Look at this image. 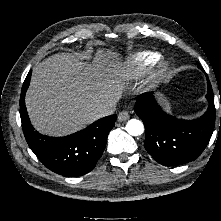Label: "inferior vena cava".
<instances>
[{
  "label": "inferior vena cava",
  "mask_w": 221,
  "mask_h": 221,
  "mask_svg": "<svg viewBox=\"0 0 221 221\" xmlns=\"http://www.w3.org/2000/svg\"><path fill=\"white\" fill-rule=\"evenodd\" d=\"M115 106L116 104L113 102H110L106 105H101L93 111L92 116L95 119H99V118L111 115L114 112Z\"/></svg>",
  "instance_id": "602c4592"
}]
</instances>
